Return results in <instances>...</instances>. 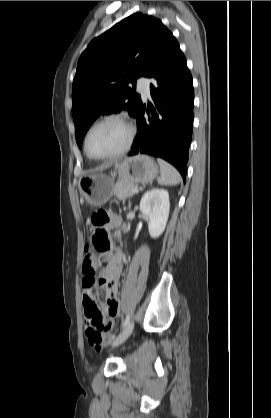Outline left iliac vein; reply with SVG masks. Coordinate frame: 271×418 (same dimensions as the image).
Returning <instances> with one entry per match:
<instances>
[{"label":"left iliac vein","mask_w":271,"mask_h":418,"mask_svg":"<svg viewBox=\"0 0 271 418\" xmlns=\"http://www.w3.org/2000/svg\"><path fill=\"white\" fill-rule=\"evenodd\" d=\"M134 328V323L130 322L128 325L122 330V332L115 338V340L112 343L113 347H116L120 344H122L132 333Z\"/></svg>","instance_id":"left-iliac-vein-1"}]
</instances>
